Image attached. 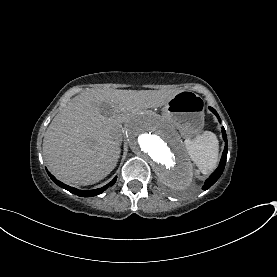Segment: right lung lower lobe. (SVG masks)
Returning <instances> with one entry per match:
<instances>
[{
    "instance_id": "98d812e1",
    "label": "right lung lower lobe",
    "mask_w": 277,
    "mask_h": 277,
    "mask_svg": "<svg viewBox=\"0 0 277 277\" xmlns=\"http://www.w3.org/2000/svg\"><path fill=\"white\" fill-rule=\"evenodd\" d=\"M48 175L50 176V178L60 187L68 190L69 192L78 195V196H82V197H91V196H95L98 194H101L104 190H106L109 186H112L114 184V182L116 181L117 177H115L110 183H108L107 185H105L102 188L99 189H95V190H90V191H83V190H78L75 189L73 187H70L68 185H65L64 183L60 182L59 180H57L53 175L50 174V172H48Z\"/></svg>"
}]
</instances>
